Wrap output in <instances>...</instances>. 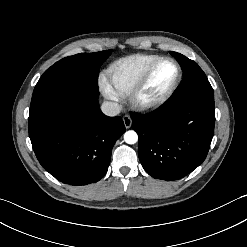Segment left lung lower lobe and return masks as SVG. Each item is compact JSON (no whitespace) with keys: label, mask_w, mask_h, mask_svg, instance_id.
Masks as SVG:
<instances>
[{"label":"left lung lower lobe","mask_w":247,"mask_h":247,"mask_svg":"<svg viewBox=\"0 0 247 247\" xmlns=\"http://www.w3.org/2000/svg\"><path fill=\"white\" fill-rule=\"evenodd\" d=\"M214 125V97L167 101L151 113L132 116L143 168L156 179L185 177L205 160Z\"/></svg>","instance_id":"obj_1"}]
</instances>
